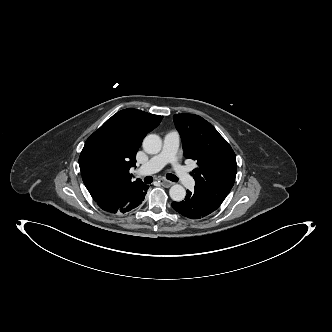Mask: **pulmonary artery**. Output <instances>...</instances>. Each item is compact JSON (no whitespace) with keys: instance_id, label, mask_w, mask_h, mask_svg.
I'll return each mask as SVG.
<instances>
[{"instance_id":"pulmonary-artery-1","label":"pulmonary artery","mask_w":332,"mask_h":332,"mask_svg":"<svg viewBox=\"0 0 332 332\" xmlns=\"http://www.w3.org/2000/svg\"><path fill=\"white\" fill-rule=\"evenodd\" d=\"M180 143L178 132L171 131L164 136L163 147L159 154L153 156L137 170L140 175L153 174L161 170L167 163H171L176 175L186 187H193L194 179L189 175L184 166L178 163L176 158L177 149Z\"/></svg>"}]
</instances>
